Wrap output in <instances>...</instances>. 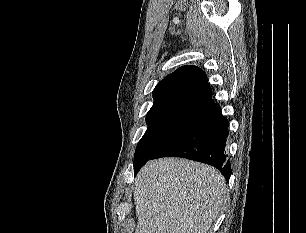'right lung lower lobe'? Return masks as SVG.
I'll list each match as a JSON object with an SVG mask.
<instances>
[{
	"label": "right lung lower lobe",
	"instance_id": "right-lung-lower-lobe-1",
	"mask_svg": "<svg viewBox=\"0 0 306 233\" xmlns=\"http://www.w3.org/2000/svg\"><path fill=\"white\" fill-rule=\"evenodd\" d=\"M228 120L218 104L205 108L150 159L175 156L215 166L229 181ZM143 166V165H142ZM141 166V167H142ZM134 170L136 175L140 168Z\"/></svg>",
	"mask_w": 306,
	"mask_h": 233
}]
</instances>
